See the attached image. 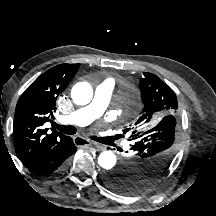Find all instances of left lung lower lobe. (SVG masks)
Listing matches in <instances>:
<instances>
[{"mask_svg": "<svg viewBox=\"0 0 216 216\" xmlns=\"http://www.w3.org/2000/svg\"><path fill=\"white\" fill-rule=\"evenodd\" d=\"M106 177H107V175L104 176V182H105ZM105 183H106V182H105ZM106 185H107V184H106ZM107 186H108V185H107ZM108 187H109V186H108ZM109 188H110V187H109Z\"/></svg>", "mask_w": 216, "mask_h": 216, "instance_id": "left-lung-lower-lobe-1", "label": "left lung lower lobe"}]
</instances>
